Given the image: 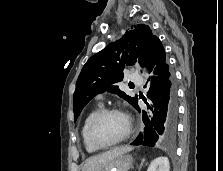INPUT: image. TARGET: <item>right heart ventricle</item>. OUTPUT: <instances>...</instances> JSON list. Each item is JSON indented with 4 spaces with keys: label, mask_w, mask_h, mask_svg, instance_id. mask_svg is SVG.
<instances>
[{
    "label": "right heart ventricle",
    "mask_w": 223,
    "mask_h": 171,
    "mask_svg": "<svg viewBox=\"0 0 223 171\" xmlns=\"http://www.w3.org/2000/svg\"><path fill=\"white\" fill-rule=\"evenodd\" d=\"M101 110H102V106L100 104H98L85 116L83 123H82V127H81L82 142H83V145H84L86 151L89 153H95L99 150L98 148L93 146L91 144V142L89 141L87 130H88V126H89V123L92 120V118Z\"/></svg>",
    "instance_id": "e07e8e85"
}]
</instances>
